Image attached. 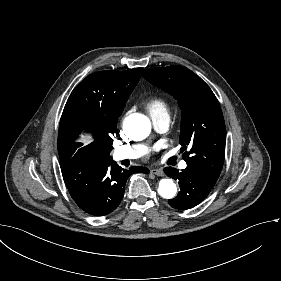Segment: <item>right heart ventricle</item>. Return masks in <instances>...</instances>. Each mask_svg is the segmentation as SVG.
<instances>
[{"label": "right heart ventricle", "mask_w": 281, "mask_h": 281, "mask_svg": "<svg viewBox=\"0 0 281 281\" xmlns=\"http://www.w3.org/2000/svg\"><path fill=\"white\" fill-rule=\"evenodd\" d=\"M147 109L152 115L156 112L167 114L169 111V104L167 100L162 97H154L147 103Z\"/></svg>", "instance_id": "obj_1"}]
</instances>
